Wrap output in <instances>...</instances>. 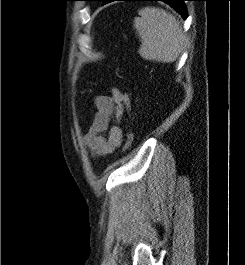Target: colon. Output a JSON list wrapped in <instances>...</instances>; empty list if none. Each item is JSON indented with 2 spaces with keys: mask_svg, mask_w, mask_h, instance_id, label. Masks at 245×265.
Returning <instances> with one entry per match:
<instances>
[{
  "mask_svg": "<svg viewBox=\"0 0 245 265\" xmlns=\"http://www.w3.org/2000/svg\"><path fill=\"white\" fill-rule=\"evenodd\" d=\"M131 96L128 93H123V103L126 105V107H130L131 106ZM134 141V136L131 132H127L125 134V140H124V146L123 149L127 150L129 149Z\"/></svg>",
  "mask_w": 245,
  "mask_h": 265,
  "instance_id": "5ec220e1",
  "label": "colon"
}]
</instances>
